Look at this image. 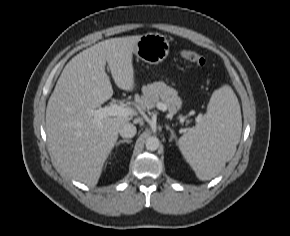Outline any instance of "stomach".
Wrapping results in <instances>:
<instances>
[{"mask_svg":"<svg viewBox=\"0 0 290 236\" xmlns=\"http://www.w3.org/2000/svg\"><path fill=\"white\" fill-rule=\"evenodd\" d=\"M169 42L159 33H146L141 35L136 44L134 54L136 57L149 64H159L169 54Z\"/></svg>","mask_w":290,"mask_h":236,"instance_id":"stomach-1","label":"stomach"}]
</instances>
